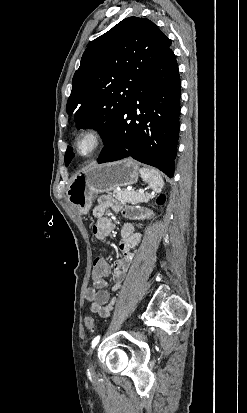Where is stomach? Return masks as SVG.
Returning a JSON list of instances; mask_svg holds the SVG:
<instances>
[{
    "mask_svg": "<svg viewBox=\"0 0 247 413\" xmlns=\"http://www.w3.org/2000/svg\"><path fill=\"white\" fill-rule=\"evenodd\" d=\"M139 168L133 158L116 162L89 164L73 176L67 188V200L77 207L81 215H87L92 207L94 194L109 192L116 186H127L137 182Z\"/></svg>",
    "mask_w": 247,
    "mask_h": 413,
    "instance_id": "stomach-1",
    "label": "stomach"
}]
</instances>
